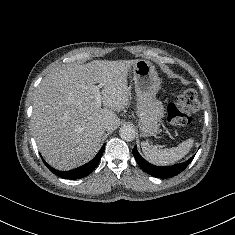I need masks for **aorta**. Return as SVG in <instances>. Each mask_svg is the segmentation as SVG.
<instances>
[{
    "instance_id": "762f6f07",
    "label": "aorta",
    "mask_w": 235,
    "mask_h": 235,
    "mask_svg": "<svg viewBox=\"0 0 235 235\" xmlns=\"http://www.w3.org/2000/svg\"><path fill=\"white\" fill-rule=\"evenodd\" d=\"M119 135L125 141H132L135 138V130L131 126L124 125L120 128Z\"/></svg>"
}]
</instances>
